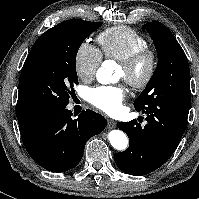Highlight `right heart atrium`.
<instances>
[{"mask_svg": "<svg viewBox=\"0 0 199 199\" xmlns=\"http://www.w3.org/2000/svg\"><path fill=\"white\" fill-rule=\"evenodd\" d=\"M102 60L99 49L88 42H82L75 54L74 66L79 79L83 81L91 80Z\"/></svg>", "mask_w": 199, "mask_h": 199, "instance_id": "obj_1", "label": "right heart atrium"}]
</instances>
